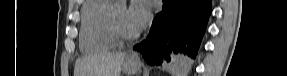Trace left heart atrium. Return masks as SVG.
<instances>
[{"label":"left heart atrium","mask_w":287,"mask_h":76,"mask_svg":"<svg viewBox=\"0 0 287 76\" xmlns=\"http://www.w3.org/2000/svg\"><path fill=\"white\" fill-rule=\"evenodd\" d=\"M128 17L137 30L142 29L150 18L148 3L144 0H134L128 8Z\"/></svg>","instance_id":"1"}]
</instances>
